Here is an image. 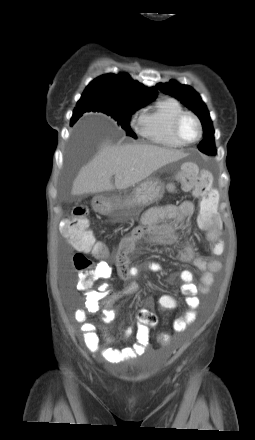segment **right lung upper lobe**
I'll list each match as a JSON object with an SVG mask.
<instances>
[{
	"label": "right lung upper lobe",
	"instance_id": "cb5924a9",
	"mask_svg": "<svg viewBox=\"0 0 255 440\" xmlns=\"http://www.w3.org/2000/svg\"><path fill=\"white\" fill-rule=\"evenodd\" d=\"M82 96L118 103H148L157 97V89L147 88L127 74H106L91 81ZM75 121L76 115L73 114L71 124Z\"/></svg>",
	"mask_w": 255,
	"mask_h": 440
}]
</instances>
